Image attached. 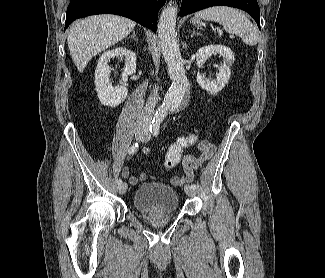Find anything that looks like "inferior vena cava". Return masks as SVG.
I'll use <instances>...</instances> for the list:
<instances>
[{
	"label": "inferior vena cava",
	"mask_w": 325,
	"mask_h": 278,
	"mask_svg": "<svg viewBox=\"0 0 325 278\" xmlns=\"http://www.w3.org/2000/svg\"><path fill=\"white\" fill-rule=\"evenodd\" d=\"M158 97H159L158 88L155 87L153 92L150 95L148 102L146 103L145 107L142 110V113L139 118L140 124H149L151 122Z\"/></svg>",
	"instance_id": "1"
}]
</instances>
